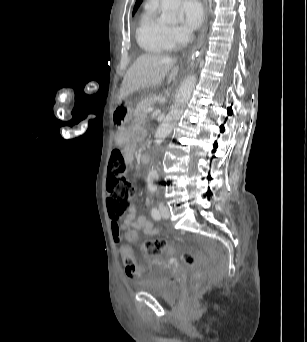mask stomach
<instances>
[{"instance_id":"0dacf381","label":"stomach","mask_w":307,"mask_h":342,"mask_svg":"<svg viewBox=\"0 0 307 342\" xmlns=\"http://www.w3.org/2000/svg\"><path fill=\"white\" fill-rule=\"evenodd\" d=\"M133 109L131 106L117 107L113 112V121L119 127H125L132 118Z\"/></svg>"}]
</instances>
